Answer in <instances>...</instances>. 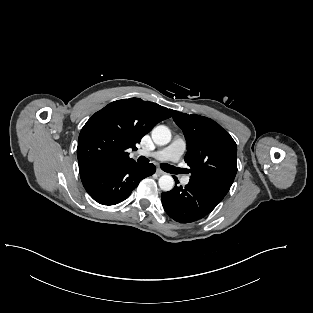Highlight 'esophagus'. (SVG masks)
<instances>
[{"label": "esophagus", "instance_id": "34e87169", "mask_svg": "<svg viewBox=\"0 0 313 313\" xmlns=\"http://www.w3.org/2000/svg\"><path fill=\"white\" fill-rule=\"evenodd\" d=\"M156 173H157V175H159V176H161V175H164V174H165V172H164V171H162L161 169H157V170H156Z\"/></svg>", "mask_w": 313, "mask_h": 313}]
</instances>
